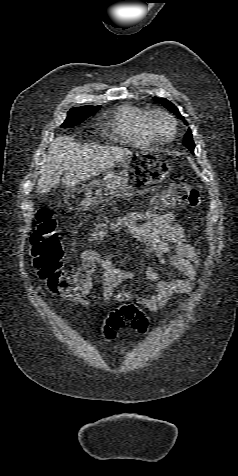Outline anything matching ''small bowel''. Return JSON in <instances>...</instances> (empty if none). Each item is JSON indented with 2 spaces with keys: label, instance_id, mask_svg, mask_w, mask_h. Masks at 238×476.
<instances>
[{
  "label": "small bowel",
  "instance_id": "small-bowel-1",
  "mask_svg": "<svg viewBox=\"0 0 238 476\" xmlns=\"http://www.w3.org/2000/svg\"><path fill=\"white\" fill-rule=\"evenodd\" d=\"M174 215L165 213L156 215L150 211L130 212L109 221L102 226H94L87 235V242L98 240L108 233L124 231L134 243L142 246L145 256L154 255L159 263L168 265L182 273L186 279L164 280L161 273L144 265L145 278L153 283L152 293L148 296H136L129 291L115 293L116 289L134 276L131 270L118 269L112 264V255L100 256L96 251L87 249L81 252L82 267L79 271L87 277L84 287L74 291H53L66 301L84 307L90 305L93 295V282L90 271L99 266L103 274V296L105 300L122 303H134L149 311L160 310L174 294H188L194 288L198 272V256L187 241L183 226L174 224Z\"/></svg>",
  "mask_w": 238,
  "mask_h": 476
}]
</instances>
